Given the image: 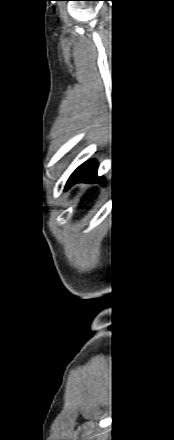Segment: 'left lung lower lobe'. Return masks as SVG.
Masks as SVG:
<instances>
[{"mask_svg":"<svg viewBox=\"0 0 174 440\" xmlns=\"http://www.w3.org/2000/svg\"><path fill=\"white\" fill-rule=\"evenodd\" d=\"M97 168L98 164L93 160L80 165L69 177L66 189L77 182H100L104 184V179L97 177Z\"/></svg>","mask_w":174,"mask_h":440,"instance_id":"0a47b994","label":"left lung lower lobe"}]
</instances>
